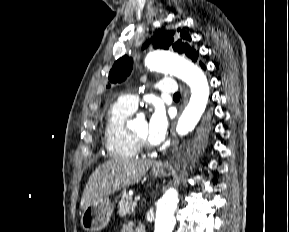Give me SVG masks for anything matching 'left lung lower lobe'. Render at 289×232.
Returning <instances> with one entry per match:
<instances>
[{
	"label": "left lung lower lobe",
	"instance_id": "obj_1",
	"mask_svg": "<svg viewBox=\"0 0 289 232\" xmlns=\"http://www.w3.org/2000/svg\"><path fill=\"white\" fill-rule=\"evenodd\" d=\"M200 66L202 69L206 70V66L202 62H200Z\"/></svg>",
	"mask_w": 289,
	"mask_h": 232
}]
</instances>
